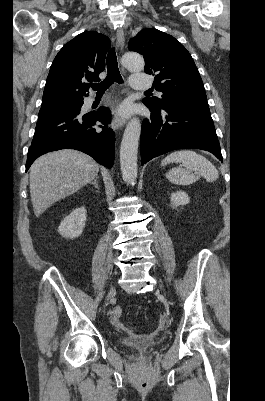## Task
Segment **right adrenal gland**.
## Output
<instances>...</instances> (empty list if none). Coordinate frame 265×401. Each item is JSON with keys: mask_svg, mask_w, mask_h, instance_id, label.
<instances>
[{"mask_svg": "<svg viewBox=\"0 0 265 401\" xmlns=\"http://www.w3.org/2000/svg\"><path fill=\"white\" fill-rule=\"evenodd\" d=\"M98 178L99 176H95L94 180H92V182H89V184H94L95 188H99Z\"/></svg>", "mask_w": 265, "mask_h": 401, "instance_id": "obj_1", "label": "right adrenal gland"}]
</instances>
